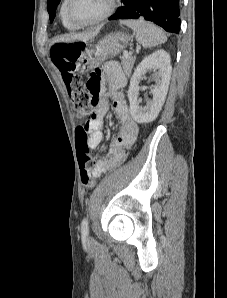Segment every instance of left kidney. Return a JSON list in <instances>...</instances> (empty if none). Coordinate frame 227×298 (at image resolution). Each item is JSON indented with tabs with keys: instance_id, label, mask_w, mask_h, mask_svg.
Here are the masks:
<instances>
[{
	"instance_id": "1",
	"label": "left kidney",
	"mask_w": 227,
	"mask_h": 298,
	"mask_svg": "<svg viewBox=\"0 0 227 298\" xmlns=\"http://www.w3.org/2000/svg\"><path fill=\"white\" fill-rule=\"evenodd\" d=\"M156 70V86L151 89L153 99L146 106H139V83L147 70ZM172 67L169 54L160 49L145 57L135 69L128 90L130 113L137 123L153 121L159 114L167 95Z\"/></svg>"
}]
</instances>
